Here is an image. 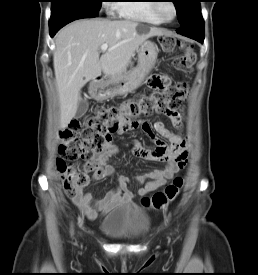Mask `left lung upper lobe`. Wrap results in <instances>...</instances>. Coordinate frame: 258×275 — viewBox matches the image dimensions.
Returning <instances> with one entry per match:
<instances>
[{
	"label": "left lung upper lobe",
	"instance_id": "1",
	"mask_svg": "<svg viewBox=\"0 0 258 275\" xmlns=\"http://www.w3.org/2000/svg\"><path fill=\"white\" fill-rule=\"evenodd\" d=\"M172 2L175 4L181 25L189 20L192 9L200 5L198 0H172Z\"/></svg>",
	"mask_w": 258,
	"mask_h": 275
}]
</instances>
